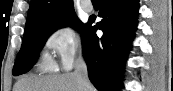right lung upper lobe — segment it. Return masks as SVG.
I'll return each instance as SVG.
<instances>
[{"instance_id":"right-lung-upper-lobe-1","label":"right lung upper lobe","mask_w":173,"mask_h":91,"mask_svg":"<svg viewBox=\"0 0 173 91\" xmlns=\"http://www.w3.org/2000/svg\"><path fill=\"white\" fill-rule=\"evenodd\" d=\"M74 14L72 0H31L25 31L56 23Z\"/></svg>"}]
</instances>
